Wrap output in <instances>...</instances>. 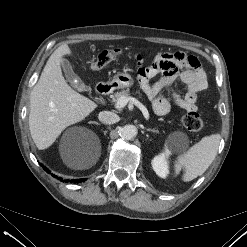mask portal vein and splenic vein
Listing matches in <instances>:
<instances>
[{"label":"portal vein and splenic vein","mask_w":247,"mask_h":247,"mask_svg":"<svg viewBox=\"0 0 247 247\" xmlns=\"http://www.w3.org/2000/svg\"><path fill=\"white\" fill-rule=\"evenodd\" d=\"M128 102L137 106L142 111L146 120L149 119V113H148L147 108L141 102H139L137 99H135L133 97L122 96L121 98H119L116 101L115 107L116 108H123L127 105Z\"/></svg>","instance_id":"obj_1"}]
</instances>
